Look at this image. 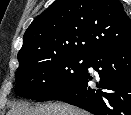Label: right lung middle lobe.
I'll use <instances>...</instances> for the list:
<instances>
[{
	"label": "right lung middle lobe",
	"instance_id": "dd1d6c3e",
	"mask_svg": "<svg viewBox=\"0 0 131 115\" xmlns=\"http://www.w3.org/2000/svg\"><path fill=\"white\" fill-rule=\"evenodd\" d=\"M87 61L78 55L60 53L27 64L17 70L15 93L36 101L54 100L84 72Z\"/></svg>",
	"mask_w": 131,
	"mask_h": 115
}]
</instances>
